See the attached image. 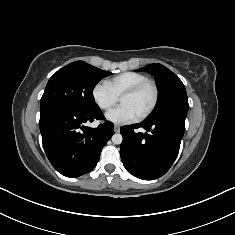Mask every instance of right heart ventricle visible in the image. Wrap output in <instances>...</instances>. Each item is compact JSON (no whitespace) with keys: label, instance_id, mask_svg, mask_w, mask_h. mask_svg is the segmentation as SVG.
<instances>
[{"label":"right heart ventricle","instance_id":"obj_1","mask_svg":"<svg viewBox=\"0 0 235 235\" xmlns=\"http://www.w3.org/2000/svg\"><path fill=\"white\" fill-rule=\"evenodd\" d=\"M145 80H148V78L144 74L129 71L110 78L107 83L117 96H121L125 90Z\"/></svg>","mask_w":235,"mask_h":235}]
</instances>
